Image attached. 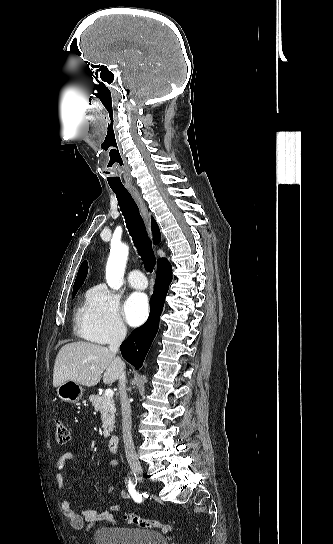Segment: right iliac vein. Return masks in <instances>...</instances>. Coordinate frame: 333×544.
Instances as JSON below:
<instances>
[{
    "label": "right iliac vein",
    "mask_w": 333,
    "mask_h": 544,
    "mask_svg": "<svg viewBox=\"0 0 333 544\" xmlns=\"http://www.w3.org/2000/svg\"><path fill=\"white\" fill-rule=\"evenodd\" d=\"M133 473H134V476H135L136 480H138L139 482H143L142 472L140 470L134 469Z\"/></svg>",
    "instance_id": "63e3f726"
}]
</instances>
